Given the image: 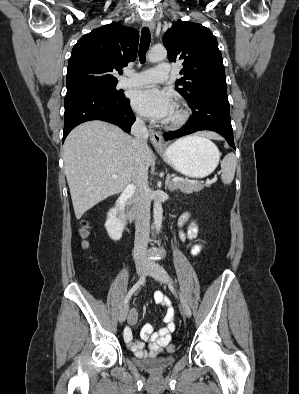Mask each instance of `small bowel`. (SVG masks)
<instances>
[{
	"mask_svg": "<svg viewBox=\"0 0 299 394\" xmlns=\"http://www.w3.org/2000/svg\"><path fill=\"white\" fill-rule=\"evenodd\" d=\"M188 216L183 215L179 220V226L182 227ZM197 236V228L191 227L186 233H181L182 239L192 240ZM201 245L195 244L192 247V253L197 254L200 252ZM154 301L166 309L164 317L165 326L159 330H155L152 324H145L140 330V340H134L132 330L126 327L124 330V339L129 348L133 351L136 357L139 358H153L162 353L163 349L167 346L172 338V333L176 329L175 324V309L170 298L162 291L154 293ZM138 321V314L135 309H131L128 316V323L130 326L135 325ZM145 342L148 346L145 347Z\"/></svg>",
	"mask_w": 299,
	"mask_h": 394,
	"instance_id": "obj_1",
	"label": "small bowel"
}]
</instances>
